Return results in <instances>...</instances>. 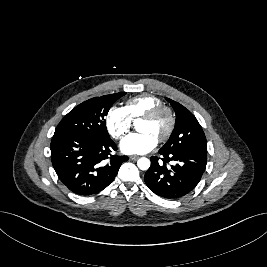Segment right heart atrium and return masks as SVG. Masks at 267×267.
<instances>
[{"instance_id":"1","label":"right heart atrium","mask_w":267,"mask_h":267,"mask_svg":"<svg viewBox=\"0 0 267 267\" xmlns=\"http://www.w3.org/2000/svg\"><path fill=\"white\" fill-rule=\"evenodd\" d=\"M105 124L109 134L119 139L130 130L132 120L123 107L112 106L106 114Z\"/></svg>"}]
</instances>
